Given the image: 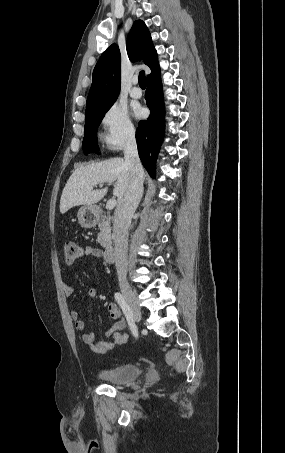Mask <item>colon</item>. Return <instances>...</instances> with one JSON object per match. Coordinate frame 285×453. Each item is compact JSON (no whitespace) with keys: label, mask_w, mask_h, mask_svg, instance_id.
<instances>
[{"label":"colon","mask_w":285,"mask_h":453,"mask_svg":"<svg viewBox=\"0 0 285 453\" xmlns=\"http://www.w3.org/2000/svg\"><path fill=\"white\" fill-rule=\"evenodd\" d=\"M63 251L67 263H73L82 255L81 247L73 240H66L64 242ZM114 337L117 345L125 344L128 341L126 334L116 333Z\"/></svg>","instance_id":"5ec220e1"}]
</instances>
